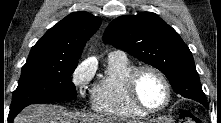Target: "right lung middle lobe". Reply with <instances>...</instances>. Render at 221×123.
<instances>
[{
  "mask_svg": "<svg viewBox=\"0 0 221 123\" xmlns=\"http://www.w3.org/2000/svg\"><path fill=\"white\" fill-rule=\"evenodd\" d=\"M78 59L28 57L13 93L10 113L17 114L30 104L74 99L71 75Z\"/></svg>",
  "mask_w": 221,
  "mask_h": 123,
  "instance_id": "dd1d6c3e",
  "label": "right lung middle lobe"
}]
</instances>
